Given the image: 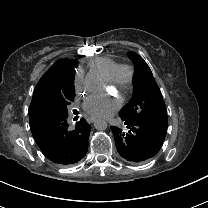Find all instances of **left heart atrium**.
I'll use <instances>...</instances> for the list:
<instances>
[{
    "label": "left heart atrium",
    "instance_id": "39dd6f15",
    "mask_svg": "<svg viewBox=\"0 0 208 208\" xmlns=\"http://www.w3.org/2000/svg\"><path fill=\"white\" fill-rule=\"evenodd\" d=\"M83 110L93 116H107L116 108V103L110 99L99 98L92 94L81 104Z\"/></svg>",
    "mask_w": 208,
    "mask_h": 208
}]
</instances>
